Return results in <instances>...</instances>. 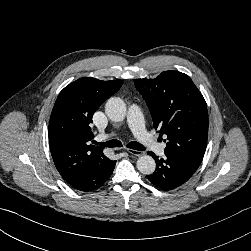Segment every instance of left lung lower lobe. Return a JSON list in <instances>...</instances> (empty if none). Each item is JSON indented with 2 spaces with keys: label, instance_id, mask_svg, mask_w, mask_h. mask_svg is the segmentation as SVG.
<instances>
[{
  "label": "left lung lower lobe",
  "instance_id": "0a47b994",
  "mask_svg": "<svg viewBox=\"0 0 251 251\" xmlns=\"http://www.w3.org/2000/svg\"><path fill=\"white\" fill-rule=\"evenodd\" d=\"M156 161V170L147 175V179L157 188L173 190L186 183L196 172V165L182 157L165 154L166 157L159 159L153 152H148Z\"/></svg>",
  "mask_w": 251,
  "mask_h": 251
}]
</instances>
